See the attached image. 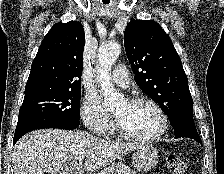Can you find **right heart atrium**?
<instances>
[{
    "label": "right heart atrium",
    "instance_id": "d8ad5b80",
    "mask_svg": "<svg viewBox=\"0 0 224 174\" xmlns=\"http://www.w3.org/2000/svg\"><path fill=\"white\" fill-rule=\"evenodd\" d=\"M81 115L88 129L98 135L106 136L113 130V119L95 94L85 95L81 105Z\"/></svg>",
    "mask_w": 224,
    "mask_h": 174
}]
</instances>
